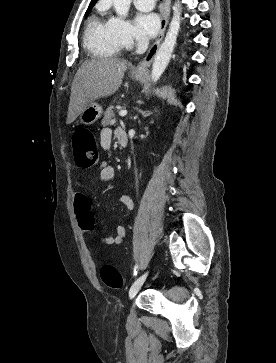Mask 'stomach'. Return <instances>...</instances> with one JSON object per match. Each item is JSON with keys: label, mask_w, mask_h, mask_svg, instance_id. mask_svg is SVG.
<instances>
[{"label": "stomach", "mask_w": 276, "mask_h": 363, "mask_svg": "<svg viewBox=\"0 0 276 363\" xmlns=\"http://www.w3.org/2000/svg\"><path fill=\"white\" fill-rule=\"evenodd\" d=\"M133 78L140 81L144 78L143 74H133ZM102 107L95 102L89 103L85 109L80 113V121L85 125H92L102 116Z\"/></svg>", "instance_id": "stomach-1"}]
</instances>
